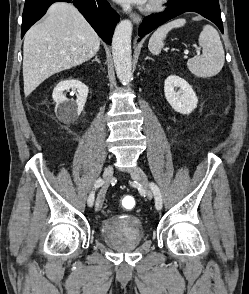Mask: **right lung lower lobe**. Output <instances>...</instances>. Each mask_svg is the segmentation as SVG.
I'll return each instance as SVG.
<instances>
[{
    "instance_id": "obj_1",
    "label": "right lung lower lobe",
    "mask_w": 249,
    "mask_h": 294,
    "mask_svg": "<svg viewBox=\"0 0 249 294\" xmlns=\"http://www.w3.org/2000/svg\"><path fill=\"white\" fill-rule=\"evenodd\" d=\"M58 1L72 3L102 40L111 44L119 15L110 7L107 0H26L22 16L21 38L46 13L48 7Z\"/></svg>"
}]
</instances>
